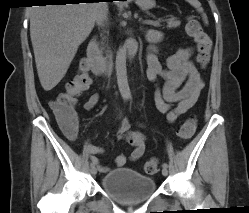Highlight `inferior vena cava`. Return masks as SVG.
Segmentation results:
<instances>
[{
	"label": "inferior vena cava",
	"mask_w": 249,
	"mask_h": 213,
	"mask_svg": "<svg viewBox=\"0 0 249 213\" xmlns=\"http://www.w3.org/2000/svg\"><path fill=\"white\" fill-rule=\"evenodd\" d=\"M107 14H108V9L105 8L97 17V23L99 26H104V23L107 22Z\"/></svg>",
	"instance_id": "obj_1"
}]
</instances>
